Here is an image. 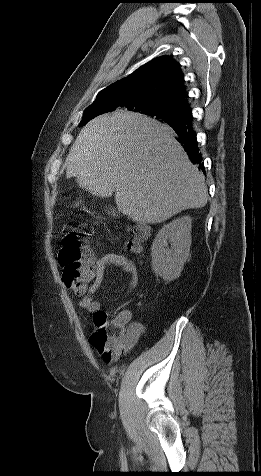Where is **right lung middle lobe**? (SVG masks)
I'll return each mask as SVG.
<instances>
[{
  "mask_svg": "<svg viewBox=\"0 0 261 476\" xmlns=\"http://www.w3.org/2000/svg\"><path fill=\"white\" fill-rule=\"evenodd\" d=\"M120 97L119 95H110L105 96L100 99L94 101L92 105H90L85 111L83 118L79 124V126H84L88 121L93 119L94 117L112 111H133L138 112L141 114L149 115L155 117L156 119L161 120L162 122H166L168 125L169 123L177 122L181 118L185 116V112L177 109L175 107L157 103V102H148L138 104L136 106H132L126 109H121L119 103Z\"/></svg>",
  "mask_w": 261,
  "mask_h": 476,
  "instance_id": "obj_1",
  "label": "right lung middle lobe"
}]
</instances>
